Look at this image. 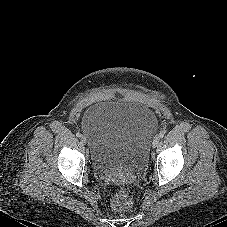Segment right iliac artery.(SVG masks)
Here are the masks:
<instances>
[{"instance_id":"1","label":"right iliac artery","mask_w":227,"mask_h":227,"mask_svg":"<svg viewBox=\"0 0 227 227\" xmlns=\"http://www.w3.org/2000/svg\"><path fill=\"white\" fill-rule=\"evenodd\" d=\"M76 136H77V137H81V133H79V132L76 133Z\"/></svg>"}]
</instances>
